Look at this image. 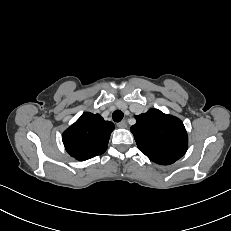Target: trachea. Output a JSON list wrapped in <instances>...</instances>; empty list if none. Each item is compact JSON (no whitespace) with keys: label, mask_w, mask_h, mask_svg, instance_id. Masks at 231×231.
Instances as JSON below:
<instances>
[{"label":"trachea","mask_w":231,"mask_h":231,"mask_svg":"<svg viewBox=\"0 0 231 231\" xmlns=\"http://www.w3.org/2000/svg\"><path fill=\"white\" fill-rule=\"evenodd\" d=\"M123 112L120 111V110H115L112 114V119L115 121V122H120L122 119H123Z\"/></svg>","instance_id":"1"}]
</instances>
